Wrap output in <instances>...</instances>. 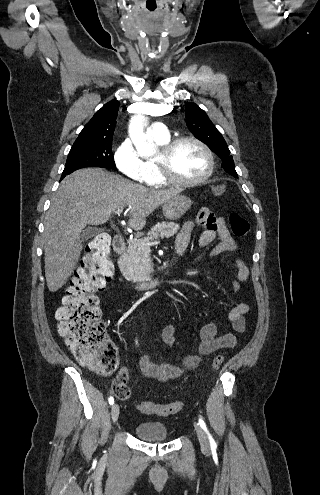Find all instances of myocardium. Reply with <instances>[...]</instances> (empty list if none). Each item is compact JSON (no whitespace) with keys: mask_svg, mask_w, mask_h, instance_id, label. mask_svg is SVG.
<instances>
[{"mask_svg":"<svg viewBox=\"0 0 320 495\" xmlns=\"http://www.w3.org/2000/svg\"><path fill=\"white\" fill-rule=\"evenodd\" d=\"M184 142L196 144L205 154L208 161L207 171L199 178L184 179L178 177L172 170L171 158L175 149ZM155 164L160 176L168 183L180 186H196L205 183L213 174L215 169V159L210 148L200 139L194 136H181L169 140L161 146V149L155 158Z\"/></svg>","mask_w":320,"mask_h":495,"instance_id":"f54148a6","label":"myocardium"}]
</instances>
